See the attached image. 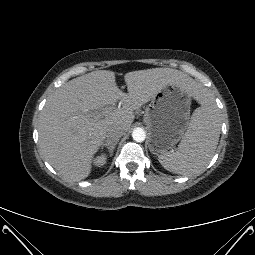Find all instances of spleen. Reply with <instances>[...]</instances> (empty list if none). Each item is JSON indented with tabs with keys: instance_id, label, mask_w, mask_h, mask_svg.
<instances>
[{
	"instance_id": "3e777b00",
	"label": "spleen",
	"mask_w": 255,
	"mask_h": 255,
	"mask_svg": "<svg viewBox=\"0 0 255 255\" xmlns=\"http://www.w3.org/2000/svg\"><path fill=\"white\" fill-rule=\"evenodd\" d=\"M201 106L194 110L187 130L176 151L158 156L168 171L190 175L204 169L211 161L220 137L219 110L214 100L203 93Z\"/></svg>"
}]
</instances>
